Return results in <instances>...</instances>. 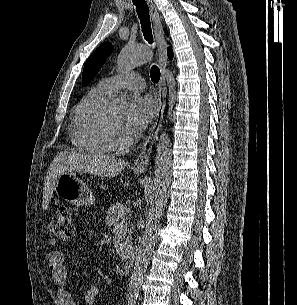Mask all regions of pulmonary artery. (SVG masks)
Wrapping results in <instances>:
<instances>
[{
    "label": "pulmonary artery",
    "mask_w": 297,
    "mask_h": 305,
    "mask_svg": "<svg viewBox=\"0 0 297 305\" xmlns=\"http://www.w3.org/2000/svg\"><path fill=\"white\" fill-rule=\"evenodd\" d=\"M101 89L111 93L119 89L141 91L145 87L144 79L135 72H125L102 79L99 84Z\"/></svg>",
    "instance_id": "obj_1"
}]
</instances>
